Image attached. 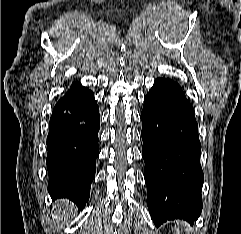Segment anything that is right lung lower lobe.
Listing matches in <instances>:
<instances>
[{"label":"right lung lower lobe","mask_w":241,"mask_h":234,"mask_svg":"<svg viewBox=\"0 0 241 234\" xmlns=\"http://www.w3.org/2000/svg\"><path fill=\"white\" fill-rule=\"evenodd\" d=\"M99 107L94 94L80 82L55 105L47 136L48 192L68 198L79 209L89 200L98 156Z\"/></svg>","instance_id":"right-lung-lower-lobe-1"}]
</instances>
